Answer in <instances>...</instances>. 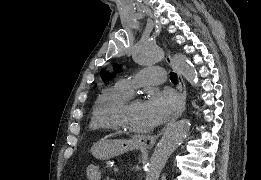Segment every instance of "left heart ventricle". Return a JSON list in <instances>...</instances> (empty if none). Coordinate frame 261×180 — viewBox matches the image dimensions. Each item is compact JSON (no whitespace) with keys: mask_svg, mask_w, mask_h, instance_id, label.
Returning <instances> with one entry per match:
<instances>
[{"mask_svg":"<svg viewBox=\"0 0 261 180\" xmlns=\"http://www.w3.org/2000/svg\"><path fill=\"white\" fill-rule=\"evenodd\" d=\"M120 120L132 133L144 135L150 131L155 122L144 107V101H134L126 110L119 114Z\"/></svg>","mask_w":261,"mask_h":180,"instance_id":"obj_1","label":"left heart ventricle"}]
</instances>
